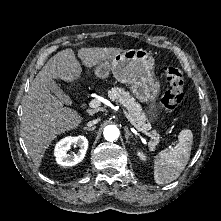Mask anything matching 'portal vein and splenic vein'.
Segmentation results:
<instances>
[{
	"mask_svg": "<svg viewBox=\"0 0 221 221\" xmlns=\"http://www.w3.org/2000/svg\"><path fill=\"white\" fill-rule=\"evenodd\" d=\"M101 105V101L98 100V99H93L89 102V107L90 108H98L99 106ZM123 112L126 116V118L128 119V121L140 132L144 133L146 136L150 137L151 139H154L155 141L152 143L153 145H156L159 141L152 135L150 134L149 132L143 130L142 128H140L138 125L135 124L134 120L132 119V117L127 113L126 110L123 109ZM175 143L172 142L171 144H169V148H172V146L174 145Z\"/></svg>",
	"mask_w": 221,
	"mask_h": 221,
	"instance_id": "obj_1",
	"label": "portal vein and splenic vein"
}]
</instances>
